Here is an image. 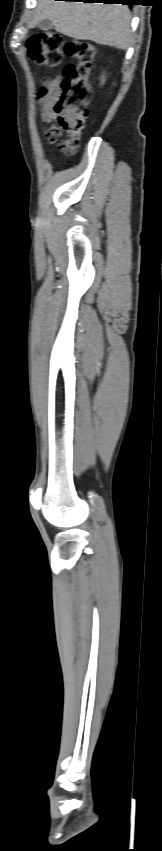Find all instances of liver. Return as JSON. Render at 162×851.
Masks as SVG:
<instances>
[{
    "mask_svg": "<svg viewBox=\"0 0 162 851\" xmlns=\"http://www.w3.org/2000/svg\"><path fill=\"white\" fill-rule=\"evenodd\" d=\"M43 19H49L58 32L77 40H91L121 50L131 44V14L127 6L38 0L29 28Z\"/></svg>",
    "mask_w": 162,
    "mask_h": 851,
    "instance_id": "6515ba94",
    "label": "liver"
}]
</instances>
